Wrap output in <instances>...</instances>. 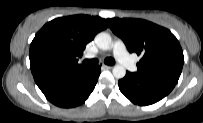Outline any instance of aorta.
Masks as SVG:
<instances>
[{"label": "aorta", "instance_id": "762f6f07", "mask_svg": "<svg viewBox=\"0 0 203 123\" xmlns=\"http://www.w3.org/2000/svg\"><path fill=\"white\" fill-rule=\"evenodd\" d=\"M94 41H95V44L97 45V47L102 50H109L112 46V38L106 32L98 33L95 36ZM112 73L115 78L121 79L125 76L126 69L122 65L117 64L114 66Z\"/></svg>", "mask_w": 203, "mask_h": 123}]
</instances>
